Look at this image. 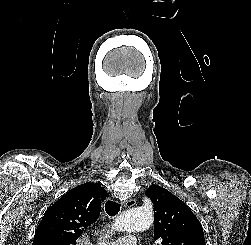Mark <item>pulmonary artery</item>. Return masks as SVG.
<instances>
[{
    "label": "pulmonary artery",
    "instance_id": "obj_1",
    "mask_svg": "<svg viewBox=\"0 0 251 245\" xmlns=\"http://www.w3.org/2000/svg\"><path fill=\"white\" fill-rule=\"evenodd\" d=\"M110 245H137V241L133 236H124L112 242Z\"/></svg>",
    "mask_w": 251,
    "mask_h": 245
}]
</instances>
